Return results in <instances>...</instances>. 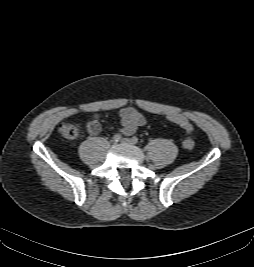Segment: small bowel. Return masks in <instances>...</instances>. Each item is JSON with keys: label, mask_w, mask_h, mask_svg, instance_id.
Wrapping results in <instances>:
<instances>
[{"label": "small bowel", "mask_w": 254, "mask_h": 267, "mask_svg": "<svg viewBox=\"0 0 254 267\" xmlns=\"http://www.w3.org/2000/svg\"><path fill=\"white\" fill-rule=\"evenodd\" d=\"M121 119L120 132L124 135L133 134L139 127L146 124L145 117L136 109L132 107H125L117 112ZM101 114L99 112L93 113V120L88 125V132L91 135H96L100 131L99 118Z\"/></svg>", "instance_id": "c3829d8e"}]
</instances>
